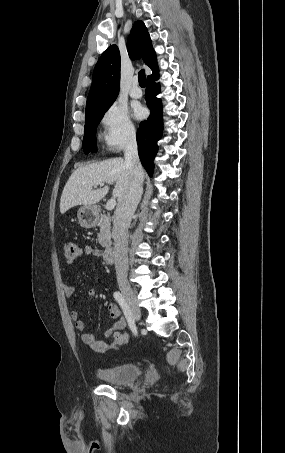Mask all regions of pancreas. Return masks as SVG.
I'll return each instance as SVG.
<instances>
[{"label":"pancreas","mask_w":285,"mask_h":453,"mask_svg":"<svg viewBox=\"0 0 285 453\" xmlns=\"http://www.w3.org/2000/svg\"><path fill=\"white\" fill-rule=\"evenodd\" d=\"M100 233L98 234V241L102 247H106L111 239V218L109 215L101 214L100 216Z\"/></svg>","instance_id":"obj_1"}]
</instances>
